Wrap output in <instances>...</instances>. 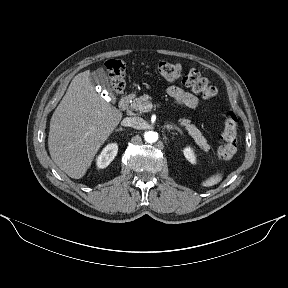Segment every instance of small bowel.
Listing matches in <instances>:
<instances>
[{"label": "small bowel", "instance_id": "c3829d8e", "mask_svg": "<svg viewBox=\"0 0 288 288\" xmlns=\"http://www.w3.org/2000/svg\"><path fill=\"white\" fill-rule=\"evenodd\" d=\"M168 95L179 105L194 109L198 106V98L180 87L170 86L167 88Z\"/></svg>", "mask_w": 288, "mask_h": 288}]
</instances>
